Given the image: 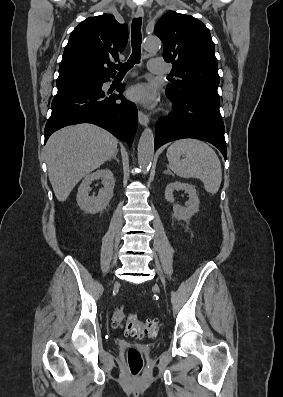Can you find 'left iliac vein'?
<instances>
[{
	"instance_id": "1",
	"label": "left iliac vein",
	"mask_w": 283,
	"mask_h": 397,
	"mask_svg": "<svg viewBox=\"0 0 283 397\" xmlns=\"http://www.w3.org/2000/svg\"><path fill=\"white\" fill-rule=\"evenodd\" d=\"M155 288H156L157 290H159V289H158V286H155Z\"/></svg>"
}]
</instances>
